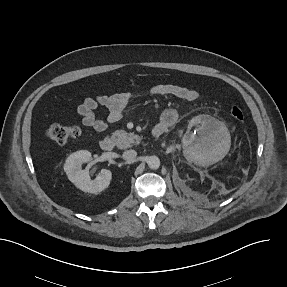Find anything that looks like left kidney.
<instances>
[{
  "label": "left kidney",
  "mask_w": 287,
  "mask_h": 287,
  "mask_svg": "<svg viewBox=\"0 0 287 287\" xmlns=\"http://www.w3.org/2000/svg\"><path fill=\"white\" fill-rule=\"evenodd\" d=\"M200 123L198 119H192L188 125L190 130L193 126ZM201 129H205L206 133L196 135L188 132L183 137V144L185 147L191 146L196 154H209L213 157L209 163L217 162L223 158L228 150L230 144V134L224 127L211 128L202 125Z\"/></svg>",
  "instance_id": "5707ae66"
}]
</instances>
